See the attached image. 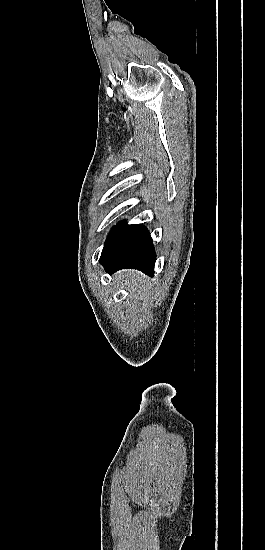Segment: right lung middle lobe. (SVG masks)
<instances>
[{
  "label": "right lung middle lobe",
  "mask_w": 265,
  "mask_h": 550,
  "mask_svg": "<svg viewBox=\"0 0 265 550\" xmlns=\"http://www.w3.org/2000/svg\"><path fill=\"white\" fill-rule=\"evenodd\" d=\"M136 227V225H125L124 223H120L117 227H115L111 233L109 234V237L104 245L103 253H109L112 250H114Z\"/></svg>",
  "instance_id": "right-lung-middle-lobe-1"
}]
</instances>
